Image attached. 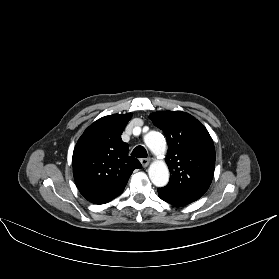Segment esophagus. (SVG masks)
Wrapping results in <instances>:
<instances>
[{
    "mask_svg": "<svg viewBox=\"0 0 279 279\" xmlns=\"http://www.w3.org/2000/svg\"><path fill=\"white\" fill-rule=\"evenodd\" d=\"M140 162H141L142 166L145 168V167H147L150 164L151 158L141 159Z\"/></svg>",
    "mask_w": 279,
    "mask_h": 279,
    "instance_id": "esophagus-1",
    "label": "esophagus"
}]
</instances>
